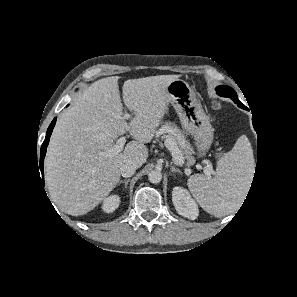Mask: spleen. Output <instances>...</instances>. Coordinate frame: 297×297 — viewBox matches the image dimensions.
I'll list each match as a JSON object with an SVG mask.
<instances>
[{"label": "spleen", "instance_id": "obj_1", "mask_svg": "<svg viewBox=\"0 0 297 297\" xmlns=\"http://www.w3.org/2000/svg\"><path fill=\"white\" fill-rule=\"evenodd\" d=\"M253 170L251 144L246 136H241L233 149L217 162L214 178L195 174L188 179V187L206 212L222 217L239 207L249 188Z\"/></svg>", "mask_w": 297, "mask_h": 297}]
</instances>
